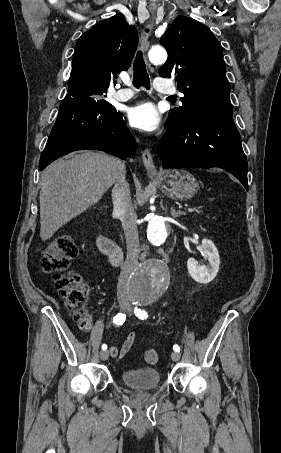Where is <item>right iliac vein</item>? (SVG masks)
Here are the masks:
<instances>
[{"instance_id": "63e3f726", "label": "right iliac vein", "mask_w": 281, "mask_h": 453, "mask_svg": "<svg viewBox=\"0 0 281 453\" xmlns=\"http://www.w3.org/2000/svg\"><path fill=\"white\" fill-rule=\"evenodd\" d=\"M100 356H101V358H103L104 362L107 361L108 356H109V351H100Z\"/></svg>"}]
</instances>
